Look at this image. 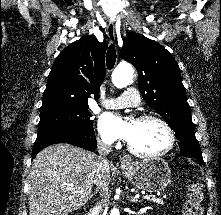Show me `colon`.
Masks as SVG:
<instances>
[{
    "mask_svg": "<svg viewBox=\"0 0 221 215\" xmlns=\"http://www.w3.org/2000/svg\"><path fill=\"white\" fill-rule=\"evenodd\" d=\"M202 200L203 194L200 187L197 184H191L183 215H201L203 211Z\"/></svg>",
    "mask_w": 221,
    "mask_h": 215,
    "instance_id": "colon-1",
    "label": "colon"
}]
</instances>
